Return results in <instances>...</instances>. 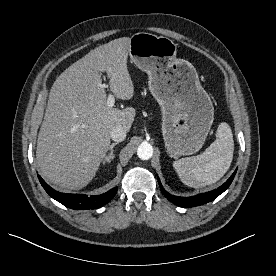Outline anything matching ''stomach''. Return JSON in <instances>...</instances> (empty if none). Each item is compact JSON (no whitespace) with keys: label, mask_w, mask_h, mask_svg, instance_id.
Masks as SVG:
<instances>
[{"label":"stomach","mask_w":276,"mask_h":276,"mask_svg":"<svg viewBox=\"0 0 276 276\" xmlns=\"http://www.w3.org/2000/svg\"><path fill=\"white\" fill-rule=\"evenodd\" d=\"M169 38L139 32L130 38L129 56L149 77V90L162 112V134L170 157L200 150L214 120L210 96L195 67L178 59Z\"/></svg>","instance_id":"0dacf381"}]
</instances>
